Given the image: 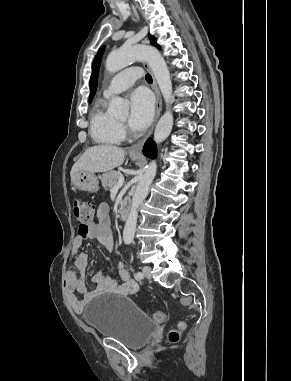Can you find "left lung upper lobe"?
I'll list each match as a JSON object with an SVG mask.
<instances>
[{"instance_id": "1", "label": "left lung upper lobe", "mask_w": 291, "mask_h": 381, "mask_svg": "<svg viewBox=\"0 0 291 381\" xmlns=\"http://www.w3.org/2000/svg\"><path fill=\"white\" fill-rule=\"evenodd\" d=\"M149 39H150L152 45L159 47V45L156 43V39H155L154 36L149 34ZM103 52H104V47H102L98 51L97 55L95 56L94 62H93L92 74H91V78H90V97H89V101L92 100V98L95 95L96 89H97L98 72H99V66H100V63H101V58H102Z\"/></svg>"}]
</instances>
